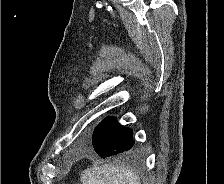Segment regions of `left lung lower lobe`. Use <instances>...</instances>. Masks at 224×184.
I'll list each match as a JSON object with an SVG mask.
<instances>
[{
	"instance_id": "obj_1",
	"label": "left lung lower lobe",
	"mask_w": 224,
	"mask_h": 184,
	"mask_svg": "<svg viewBox=\"0 0 224 184\" xmlns=\"http://www.w3.org/2000/svg\"><path fill=\"white\" fill-rule=\"evenodd\" d=\"M133 132L120 125L116 118L102 120L94 130L92 143L97 154L106 158L130 150L134 145Z\"/></svg>"
}]
</instances>
